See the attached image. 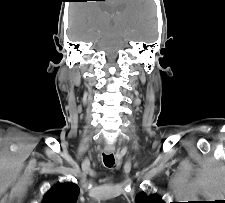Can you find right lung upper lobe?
<instances>
[{"label": "right lung upper lobe", "mask_w": 225, "mask_h": 203, "mask_svg": "<svg viewBox=\"0 0 225 203\" xmlns=\"http://www.w3.org/2000/svg\"><path fill=\"white\" fill-rule=\"evenodd\" d=\"M79 187L73 183H61L51 188L42 203H76Z\"/></svg>", "instance_id": "right-lung-upper-lobe-1"}]
</instances>
